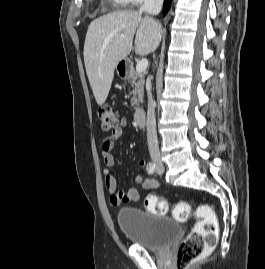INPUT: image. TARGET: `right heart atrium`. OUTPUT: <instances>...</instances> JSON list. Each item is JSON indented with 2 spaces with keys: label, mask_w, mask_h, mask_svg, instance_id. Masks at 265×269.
I'll return each instance as SVG.
<instances>
[{
  "label": "right heart atrium",
  "mask_w": 265,
  "mask_h": 269,
  "mask_svg": "<svg viewBox=\"0 0 265 269\" xmlns=\"http://www.w3.org/2000/svg\"><path fill=\"white\" fill-rule=\"evenodd\" d=\"M145 1H149V0H127V2L131 5H140Z\"/></svg>",
  "instance_id": "1"
}]
</instances>
